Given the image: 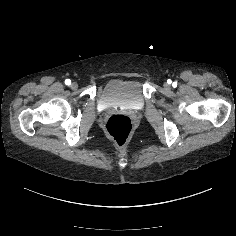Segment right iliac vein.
I'll return each instance as SVG.
<instances>
[{"label":"right iliac vein","instance_id":"right-iliac-vein-1","mask_svg":"<svg viewBox=\"0 0 236 236\" xmlns=\"http://www.w3.org/2000/svg\"><path fill=\"white\" fill-rule=\"evenodd\" d=\"M71 88H72L73 90H76V89L78 88V84L75 83V82H73V83L71 84Z\"/></svg>","mask_w":236,"mask_h":236}]
</instances>
